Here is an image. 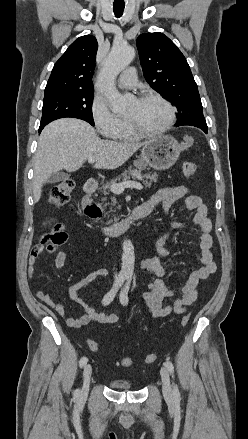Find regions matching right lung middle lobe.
Instances as JSON below:
<instances>
[{
    "label": "right lung middle lobe",
    "mask_w": 248,
    "mask_h": 439,
    "mask_svg": "<svg viewBox=\"0 0 248 439\" xmlns=\"http://www.w3.org/2000/svg\"><path fill=\"white\" fill-rule=\"evenodd\" d=\"M93 90H75L58 92L44 96L41 124H48L53 120L73 117L82 119L92 126Z\"/></svg>",
    "instance_id": "obj_1"
}]
</instances>
